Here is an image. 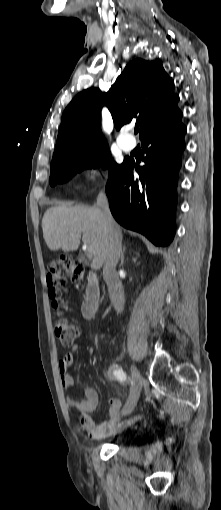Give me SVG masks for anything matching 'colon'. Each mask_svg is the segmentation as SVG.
<instances>
[{
  "label": "colon",
  "instance_id": "obj_1",
  "mask_svg": "<svg viewBox=\"0 0 221 510\" xmlns=\"http://www.w3.org/2000/svg\"><path fill=\"white\" fill-rule=\"evenodd\" d=\"M82 282V265L71 256H62L48 264L47 287L52 307L58 312H65L68 302L65 299L66 282ZM55 335L64 347H71L80 334V327L74 320L60 317L54 324Z\"/></svg>",
  "mask_w": 221,
  "mask_h": 510
}]
</instances>
